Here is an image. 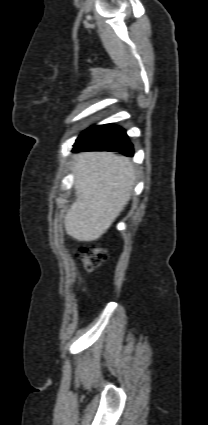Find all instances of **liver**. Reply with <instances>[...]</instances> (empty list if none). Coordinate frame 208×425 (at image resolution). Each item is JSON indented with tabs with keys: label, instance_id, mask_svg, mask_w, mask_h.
I'll return each instance as SVG.
<instances>
[{
	"label": "liver",
	"instance_id": "1",
	"mask_svg": "<svg viewBox=\"0 0 208 425\" xmlns=\"http://www.w3.org/2000/svg\"><path fill=\"white\" fill-rule=\"evenodd\" d=\"M73 172L76 200L65 215V229L78 241H95L128 204L135 169L127 157L109 152H85L75 157Z\"/></svg>",
	"mask_w": 208,
	"mask_h": 425
}]
</instances>
